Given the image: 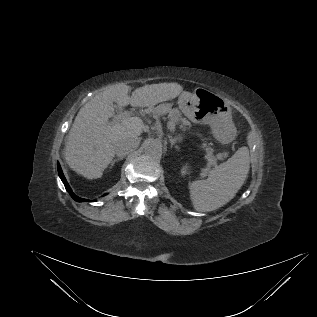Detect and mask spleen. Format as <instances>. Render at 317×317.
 Listing matches in <instances>:
<instances>
[{
  "label": "spleen",
  "mask_w": 317,
  "mask_h": 317,
  "mask_svg": "<svg viewBox=\"0 0 317 317\" xmlns=\"http://www.w3.org/2000/svg\"><path fill=\"white\" fill-rule=\"evenodd\" d=\"M249 172V150L239 148L226 162L213 168L206 180L190 183L189 192L198 212L216 210L234 198Z\"/></svg>",
  "instance_id": "1"
}]
</instances>
